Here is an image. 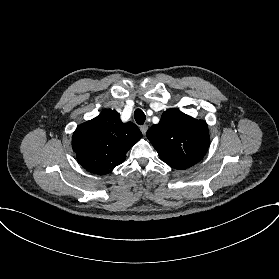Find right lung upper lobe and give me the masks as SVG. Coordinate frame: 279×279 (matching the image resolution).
<instances>
[{"instance_id": "right-lung-upper-lobe-1", "label": "right lung upper lobe", "mask_w": 279, "mask_h": 279, "mask_svg": "<svg viewBox=\"0 0 279 279\" xmlns=\"http://www.w3.org/2000/svg\"><path fill=\"white\" fill-rule=\"evenodd\" d=\"M142 137L132 122L122 123L117 111L105 109L96 118L78 126L72 147L87 171L106 174L121 164L127 151Z\"/></svg>"}]
</instances>
